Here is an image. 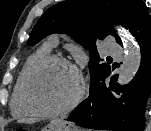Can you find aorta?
<instances>
[{
  "instance_id": "aorta-1",
  "label": "aorta",
  "mask_w": 151,
  "mask_h": 131,
  "mask_svg": "<svg viewBox=\"0 0 151 131\" xmlns=\"http://www.w3.org/2000/svg\"><path fill=\"white\" fill-rule=\"evenodd\" d=\"M121 38L125 49V57L118 73V84H128L136 75L141 63V51L133 38L124 30Z\"/></svg>"
}]
</instances>
